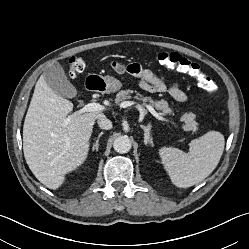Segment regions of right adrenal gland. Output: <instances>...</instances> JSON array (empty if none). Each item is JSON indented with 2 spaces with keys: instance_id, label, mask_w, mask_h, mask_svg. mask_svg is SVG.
Wrapping results in <instances>:
<instances>
[{
  "instance_id": "1",
  "label": "right adrenal gland",
  "mask_w": 249,
  "mask_h": 249,
  "mask_svg": "<svg viewBox=\"0 0 249 249\" xmlns=\"http://www.w3.org/2000/svg\"><path fill=\"white\" fill-rule=\"evenodd\" d=\"M102 135H103V132L99 133V135H98V137H97L95 143L93 144V147H92V150H93V151H94V150L98 151L99 140H100V138H101Z\"/></svg>"
}]
</instances>
